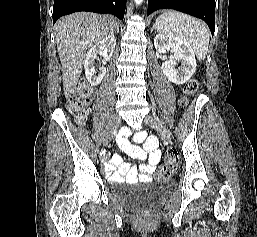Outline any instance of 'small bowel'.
<instances>
[{"mask_svg": "<svg viewBox=\"0 0 257 237\" xmlns=\"http://www.w3.org/2000/svg\"><path fill=\"white\" fill-rule=\"evenodd\" d=\"M127 135L128 131L122 130L117 138L118 143L131 157L146 159L147 162L139 167H134L124 162L119 154H114L105 164L106 176L111 181L118 183L125 180L130 182H148L151 180L161 159L157 139L153 136H147L144 132H140L134 135L133 142L131 143L127 139ZM138 144H142V146L140 147Z\"/></svg>", "mask_w": 257, "mask_h": 237, "instance_id": "c3829d8e", "label": "small bowel"}]
</instances>
